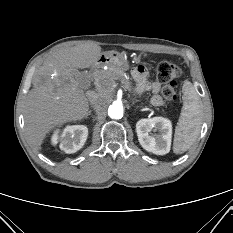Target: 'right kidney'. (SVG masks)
Listing matches in <instances>:
<instances>
[{"label":"right kidney","mask_w":233,"mask_h":233,"mask_svg":"<svg viewBox=\"0 0 233 233\" xmlns=\"http://www.w3.org/2000/svg\"><path fill=\"white\" fill-rule=\"evenodd\" d=\"M56 131L52 138L51 142L53 145H56L60 142L59 147L62 151L67 154L75 153L80 150L88 136V128L84 125H73L67 126L61 135Z\"/></svg>","instance_id":"ca27d5eb"}]
</instances>
